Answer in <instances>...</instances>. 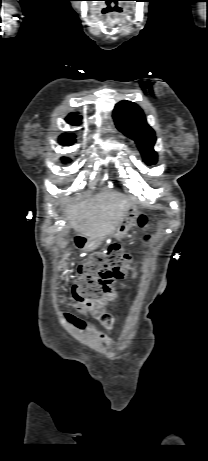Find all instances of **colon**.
Segmentation results:
<instances>
[{
  "instance_id": "5ec220e1",
  "label": "colon",
  "mask_w": 208,
  "mask_h": 461,
  "mask_svg": "<svg viewBox=\"0 0 208 461\" xmlns=\"http://www.w3.org/2000/svg\"><path fill=\"white\" fill-rule=\"evenodd\" d=\"M141 228L147 226L144 216L138 218ZM133 260L119 244H111L102 254L93 256L89 261L82 263L77 270V276L72 286L75 300L74 308L78 312L90 311L101 299L104 288L110 282L121 279L133 270ZM66 318L80 325L71 314H65Z\"/></svg>"
}]
</instances>
